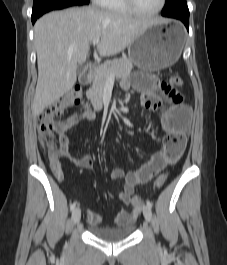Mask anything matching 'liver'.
Masks as SVG:
<instances>
[{
  "label": "liver",
  "instance_id": "1",
  "mask_svg": "<svg viewBox=\"0 0 227 265\" xmlns=\"http://www.w3.org/2000/svg\"><path fill=\"white\" fill-rule=\"evenodd\" d=\"M152 23L95 7L70 8L42 16L34 26L38 81L32 113L41 114L69 92L77 80V66L89 55L90 43L100 38L102 57L122 52Z\"/></svg>",
  "mask_w": 227,
  "mask_h": 265
}]
</instances>
